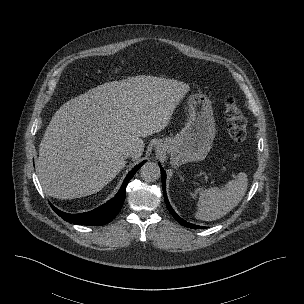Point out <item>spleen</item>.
<instances>
[{"mask_svg": "<svg viewBox=\"0 0 304 304\" xmlns=\"http://www.w3.org/2000/svg\"><path fill=\"white\" fill-rule=\"evenodd\" d=\"M248 186L247 175L241 172L237 180L228 182L224 188H210L200 192L198 212L200 220L219 219L236 207L243 199Z\"/></svg>", "mask_w": 304, "mask_h": 304, "instance_id": "3e777b00", "label": "spleen"}]
</instances>
